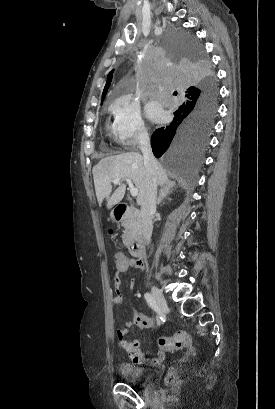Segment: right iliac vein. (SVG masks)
Returning <instances> with one entry per match:
<instances>
[{
    "label": "right iliac vein",
    "mask_w": 275,
    "mask_h": 409,
    "mask_svg": "<svg viewBox=\"0 0 275 409\" xmlns=\"http://www.w3.org/2000/svg\"><path fill=\"white\" fill-rule=\"evenodd\" d=\"M152 294L155 298L156 304L158 306V308L162 311L167 309V302H166V298L163 294V292L158 289L157 287L153 286L152 287Z\"/></svg>",
    "instance_id": "63e3f726"
}]
</instances>
